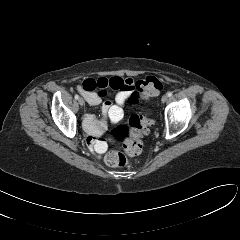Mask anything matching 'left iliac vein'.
<instances>
[{
    "label": "left iliac vein",
    "instance_id": "1",
    "mask_svg": "<svg viewBox=\"0 0 240 240\" xmlns=\"http://www.w3.org/2000/svg\"><path fill=\"white\" fill-rule=\"evenodd\" d=\"M167 99H168V95L164 94L161 98L162 103H165L167 101Z\"/></svg>",
    "mask_w": 240,
    "mask_h": 240
}]
</instances>
